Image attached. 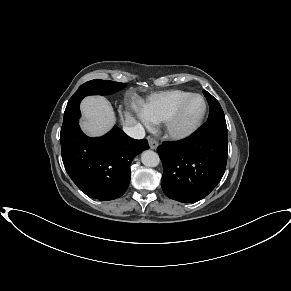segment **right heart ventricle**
Masks as SVG:
<instances>
[{
    "label": "right heart ventricle",
    "instance_id": "right-heart-ventricle-1",
    "mask_svg": "<svg viewBox=\"0 0 291 291\" xmlns=\"http://www.w3.org/2000/svg\"><path fill=\"white\" fill-rule=\"evenodd\" d=\"M191 94V92L179 89L155 93L142 103V115L147 121L152 123L165 122L176 108Z\"/></svg>",
    "mask_w": 291,
    "mask_h": 291
}]
</instances>
